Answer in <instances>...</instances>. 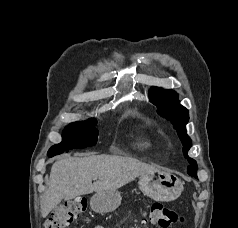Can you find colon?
Here are the masks:
<instances>
[{"instance_id": "5ec220e1", "label": "colon", "mask_w": 238, "mask_h": 228, "mask_svg": "<svg viewBox=\"0 0 238 228\" xmlns=\"http://www.w3.org/2000/svg\"><path fill=\"white\" fill-rule=\"evenodd\" d=\"M86 207L87 203L83 198L67 203L53 212L45 222V228H68L86 210ZM147 218L159 228H171L184 221L181 215L158 202L150 205Z\"/></svg>"}]
</instances>
